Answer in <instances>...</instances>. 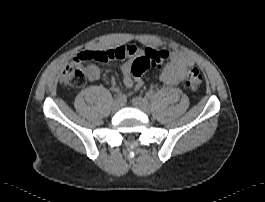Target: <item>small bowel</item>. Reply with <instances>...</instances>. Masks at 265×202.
Segmentation results:
<instances>
[{"label": "small bowel", "mask_w": 265, "mask_h": 202, "mask_svg": "<svg viewBox=\"0 0 265 202\" xmlns=\"http://www.w3.org/2000/svg\"><path fill=\"white\" fill-rule=\"evenodd\" d=\"M116 50H121L125 55L123 59L127 60L121 65L125 86L134 91L140 90L143 86V81L140 78L134 77L131 72L132 61L138 52L137 49L132 45H124L116 48ZM98 51L105 52L107 50ZM169 58L170 61L162 71L160 80L166 85L174 86L185 80L188 69L194 67V59L190 54L180 50L172 51ZM74 62L79 64L81 63V59L78 54L75 56ZM83 71L90 81H95L100 77V71L94 64H85L83 66ZM111 89L113 91H118V87L114 83L112 84Z\"/></svg>", "instance_id": "1"}]
</instances>
